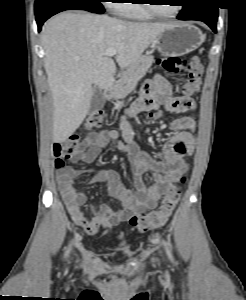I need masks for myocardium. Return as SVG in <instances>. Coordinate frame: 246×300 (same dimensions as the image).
I'll list each match as a JSON object with an SVG mask.
<instances>
[{
	"label": "myocardium",
	"instance_id": "1",
	"mask_svg": "<svg viewBox=\"0 0 246 300\" xmlns=\"http://www.w3.org/2000/svg\"><path fill=\"white\" fill-rule=\"evenodd\" d=\"M147 3L144 5L146 9L154 16L163 18V19H168V18H174L178 16L182 10V6L178 5L177 9L172 13V14H164L160 12L156 6V4L153 3L152 0H146Z\"/></svg>",
	"mask_w": 246,
	"mask_h": 300
}]
</instances>
